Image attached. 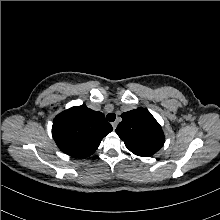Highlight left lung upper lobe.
<instances>
[{
	"label": "left lung upper lobe",
	"instance_id": "obj_1",
	"mask_svg": "<svg viewBox=\"0 0 220 220\" xmlns=\"http://www.w3.org/2000/svg\"><path fill=\"white\" fill-rule=\"evenodd\" d=\"M122 119L116 133L135 155L151 156L163 146L165 136L162 128L147 109L125 112Z\"/></svg>",
	"mask_w": 220,
	"mask_h": 220
}]
</instances>
